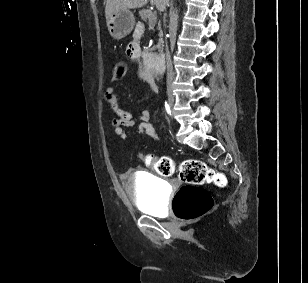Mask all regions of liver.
<instances>
[{
	"label": "liver",
	"instance_id": "6515ba94",
	"mask_svg": "<svg viewBox=\"0 0 308 283\" xmlns=\"http://www.w3.org/2000/svg\"><path fill=\"white\" fill-rule=\"evenodd\" d=\"M148 1L149 0H107L105 7L106 19L119 10L143 7ZM150 2L156 5L158 9L164 10L167 0H150Z\"/></svg>",
	"mask_w": 308,
	"mask_h": 283
}]
</instances>
